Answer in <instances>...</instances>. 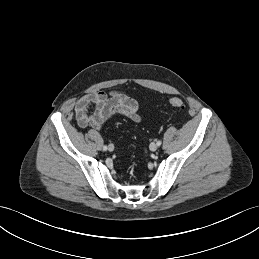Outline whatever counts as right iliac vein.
Wrapping results in <instances>:
<instances>
[{
    "mask_svg": "<svg viewBox=\"0 0 259 259\" xmlns=\"http://www.w3.org/2000/svg\"><path fill=\"white\" fill-rule=\"evenodd\" d=\"M108 150L112 152L114 150V146L112 144H110L108 147Z\"/></svg>",
    "mask_w": 259,
    "mask_h": 259,
    "instance_id": "obj_1",
    "label": "right iliac vein"
}]
</instances>
